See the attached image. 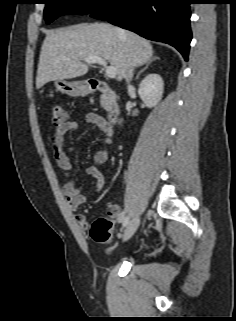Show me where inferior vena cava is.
<instances>
[{
    "label": "inferior vena cava",
    "mask_w": 236,
    "mask_h": 321,
    "mask_svg": "<svg viewBox=\"0 0 236 321\" xmlns=\"http://www.w3.org/2000/svg\"><path fill=\"white\" fill-rule=\"evenodd\" d=\"M117 32L119 34H122V32L120 30H117ZM132 77H133V66L130 67V70L128 71V73L126 75V82L128 84V87H131L130 81L132 80Z\"/></svg>",
    "instance_id": "1"
}]
</instances>
